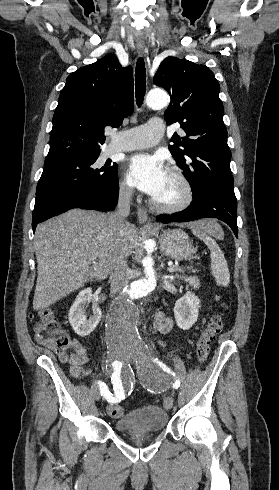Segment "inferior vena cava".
Returning <instances> with one entry per match:
<instances>
[{
    "label": "inferior vena cava",
    "instance_id": "obj_1",
    "mask_svg": "<svg viewBox=\"0 0 279 490\" xmlns=\"http://www.w3.org/2000/svg\"><path fill=\"white\" fill-rule=\"evenodd\" d=\"M133 190L132 188H127L123 186L120 188L118 196V204L116 206L115 212H111L108 216V226H114L117 230H120L122 236H129L130 232H127L129 228L128 222L125 218L130 214V200L132 198ZM130 280V268H128L127 258H121L114 262L113 268L110 272V296L111 298H116L119 296L120 292L126 288Z\"/></svg>",
    "mask_w": 279,
    "mask_h": 490
}]
</instances>
